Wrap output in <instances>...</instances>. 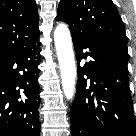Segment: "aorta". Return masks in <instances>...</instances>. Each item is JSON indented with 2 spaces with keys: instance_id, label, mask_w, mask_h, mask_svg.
I'll list each match as a JSON object with an SVG mask.
<instances>
[{
  "instance_id": "762f6f07",
  "label": "aorta",
  "mask_w": 136,
  "mask_h": 136,
  "mask_svg": "<svg viewBox=\"0 0 136 136\" xmlns=\"http://www.w3.org/2000/svg\"><path fill=\"white\" fill-rule=\"evenodd\" d=\"M54 41L61 71L62 89L67 99H72L76 83V65L72 39L66 24L60 23L54 30Z\"/></svg>"
}]
</instances>
